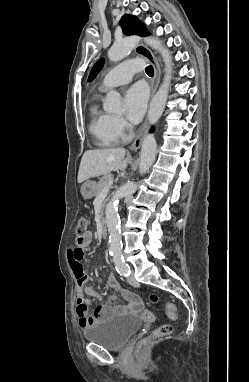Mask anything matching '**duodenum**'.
Instances as JSON below:
<instances>
[{
	"mask_svg": "<svg viewBox=\"0 0 249 382\" xmlns=\"http://www.w3.org/2000/svg\"><path fill=\"white\" fill-rule=\"evenodd\" d=\"M99 229L102 234V236H107L108 235V226H107V221L105 217H102L99 223Z\"/></svg>",
	"mask_w": 249,
	"mask_h": 382,
	"instance_id": "410a0bca",
	"label": "duodenum"
}]
</instances>
